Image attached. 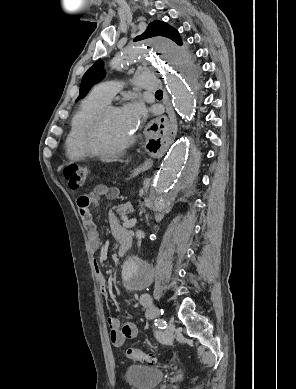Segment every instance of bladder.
Returning <instances> with one entry per match:
<instances>
[{"label": "bladder", "instance_id": "bladder-1", "mask_svg": "<svg viewBox=\"0 0 296 389\" xmlns=\"http://www.w3.org/2000/svg\"><path fill=\"white\" fill-rule=\"evenodd\" d=\"M163 379V371L150 366L131 364L125 371V380L131 389H153Z\"/></svg>", "mask_w": 296, "mask_h": 389}]
</instances>
